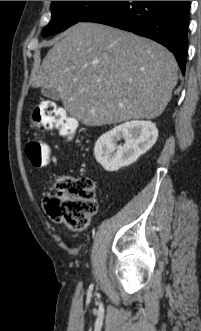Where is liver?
Listing matches in <instances>:
<instances>
[{
  "label": "liver",
  "mask_w": 201,
  "mask_h": 331,
  "mask_svg": "<svg viewBox=\"0 0 201 331\" xmlns=\"http://www.w3.org/2000/svg\"><path fill=\"white\" fill-rule=\"evenodd\" d=\"M177 62L162 45L96 23H78L48 51L33 87L58 90L66 111L101 126L161 115L177 84Z\"/></svg>",
  "instance_id": "1"
}]
</instances>
